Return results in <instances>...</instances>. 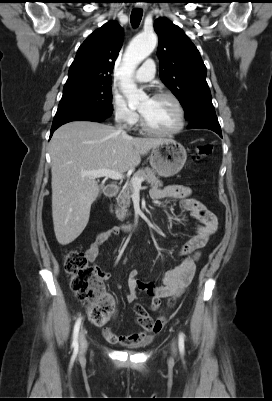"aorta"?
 I'll use <instances>...</instances> for the list:
<instances>
[{
	"mask_svg": "<svg viewBox=\"0 0 272 401\" xmlns=\"http://www.w3.org/2000/svg\"><path fill=\"white\" fill-rule=\"evenodd\" d=\"M157 44L154 33H143L136 36L129 44L120 70V89L126 97L129 107L137 106L147 98L144 91L137 88L132 75L137 66L148 57Z\"/></svg>",
	"mask_w": 272,
	"mask_h": 401,
	"instance_id": "obj_1",
	"label": "aorta"
}]
</instances>
